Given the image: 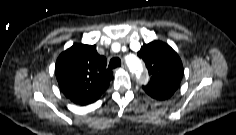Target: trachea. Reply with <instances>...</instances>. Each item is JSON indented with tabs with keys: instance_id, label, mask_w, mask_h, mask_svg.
Returning a JSON list of instances; mask_svg holds the SVG:
<instances>
[{
	"instance_id": "1",
	"label": "trachea",
	"mask_w": 236,
	"mask_h": 135,
	"mask_svg": "<svg viewBox=\"0 0 236 135\" xmlns=\"http://www.w3.org/2000/svg\"><path fill=\"white\" fill-rule=\"evenodd\" d=\"M121 66V60L116 57V58H112L109 62V65H108V68L109 69H115L117 67H120Z\"/></svg>"
}]
</instances>
